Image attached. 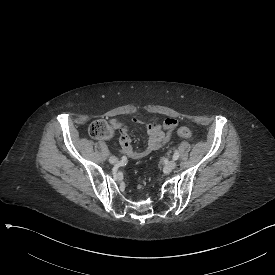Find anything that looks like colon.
Listing matches in <instances>:
<instances>
[{
    "label": "colon",
    "mask_w": 275,
    "mask_h": 275,
    "mask_svg": "<svg viewBox=\"0 0 275 275\" xmlns=\"http://www.w3.org/2000/svg\"><path fill=\"white\" fill-rule=\"evenodd\" d=\"M113 130V120L105 117H100L94 120L88 129L89 134L93 139H105L112 134ZM177 134L185 139H190L193 135L192 131L185 126H179Z\"/></svg>",
    "instance_id": "colon-1"
}]
</instances>
